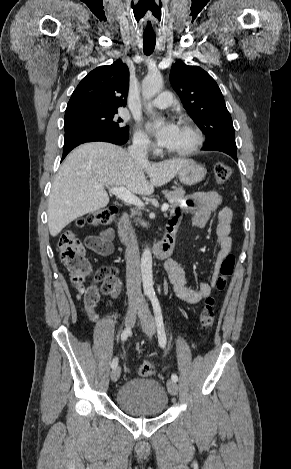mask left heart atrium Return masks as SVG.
<instances>
[{"mask_svg":"<svg viewBox=\"0 0 291 469\" xmlns=\"http://www.w3.org/2000/svg\"><path fill=\"white\" fill-rule=\"evenodd\" d=\"M148 130L155 136L159 145L167 147L173 140L178 126L172 121L147 123Z\"/></svg>","mask_w":291,"mask_h":469,"instance_id":"obj_1","label":"left heart atrium"}]
</instances>
